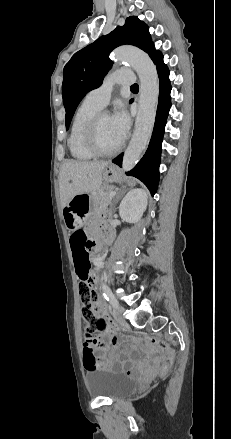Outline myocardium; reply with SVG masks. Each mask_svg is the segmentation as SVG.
Segmentation results:
<instances>
[{"label": "myocardium", "instance_id": "obj_1", "mask_svg": "<svg viewBox=\"0 0 231 439\" xmlns=\"http://www.w3.org/2000/svg\"><path fill=\"white\" fill-rule=\"evenodd\" d=\"M104 115H109L105 110H99L88 121L84 131V141L89 150L96 156L110 157L117 154L123 147V143H120L117 147L111 150H104L100 147L97 140V129L101 118Z\"/></svg>", "mask_w": 231, "mask_h": 439}]
</instances>
